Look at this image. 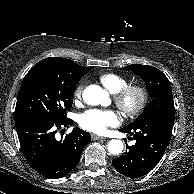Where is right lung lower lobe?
Returning a JSON list of instances; mask_svg holds the SVG:
<instances>
[{
	"instance_id": "98d812e1",
	"label": "right lung lower lobe",
	"mask_w": 194,
	"mask_h": 194,
	"mask_svg": "<svg viewBox=\"0 0 194 194\" xmlns=\"http://www.w3.org/2000/svg\"><path fill=\"white\" fill-rule=\"evenodd\" d=\"M69 118L56 120L42 114H26L15 117V126L23 155L28 164L49 179L61 178L77 166L83 148L91 136L79 128L61 138H55V129L69 127Z\"/></svg>"
}]
</instances>
